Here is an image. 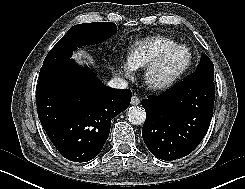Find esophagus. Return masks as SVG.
I'll list each match as a JSON object with an SVG mask.
<instances>
[{
    "label": "esophagus",
    "mask_w": 245,
    "mask_h": 189,
    "mask_svg": "<svg viewBox=\"0 0 245 189\" xmlns=\"http://www.w3.org/2000/svg\"><path fill=\"white\" fill-rule=\"evenodd\" d=\"M140 98L137 95H133L131 98V105H139Z\"/></svg>",
    "instance_id": "esophagus-1"
}]
</instances>
